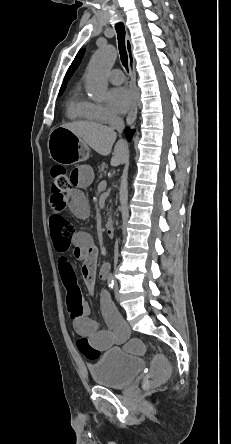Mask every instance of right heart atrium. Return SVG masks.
<instances>
[{
    "label": "right heart atrium",
    "mask_w": 231,
    "mask_h": 444,
    "mask_svg": "<svg viewBox=\"0 0 231 444\" xmlns=\"http://www.w3.org/2000/svg\"><path fill=\"white\" fill-rule=\"evenodd\" d=\"M89 107L95 120L107 122L116 118V115L104 104L89 102Z\"/></svg>",
    "instance_id": "obj_1"
}]
</instances>
